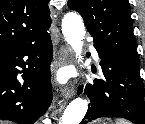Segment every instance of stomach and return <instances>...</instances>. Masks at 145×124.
Wrapping results in <instances>:
<instances>
[{
  "mask_svg": "<svg viewBox=\"0 0 145 124\" xmlns=\"http://www.w3.org/2000/svg\"><path fill=\"white\" fill-rule=\"evenodd\" d=\"M99 124H108V123L103 122V123H99Z\"/></svg>",
  "mask_w": 145,
  "mask_h": 124,
  "instance_id": "stomach-1",
  "label": "stomach"
}]
</instances>
